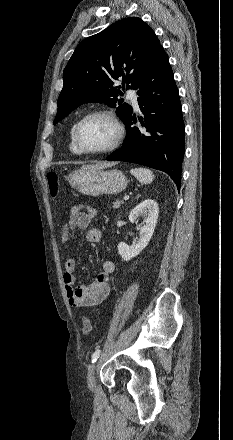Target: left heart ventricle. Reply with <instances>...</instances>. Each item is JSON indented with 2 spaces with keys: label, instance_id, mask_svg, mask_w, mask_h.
I'll use <instances>...</instances> for the list:
<instances>
[{
  "label": "left heart ventricle",
  "instance_id": "1",
  "mask_svg": "<svg viewBox=\"0 0 233 440\" xmlns=\"http://www.w3.org/2000/svg\"><path fill=\"white\" fill-rule=\"evenodd\" d=\"M115 137V128L104 117H93L83 123L79 131V143L88 150L109 146Z\"/></svg>",
  "mask_w": 233,
  "mask_h": 440
}]
</instances>
